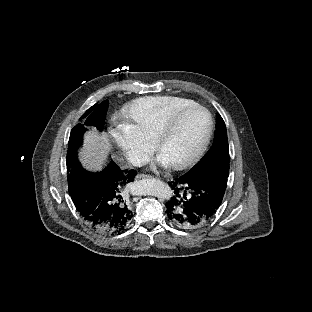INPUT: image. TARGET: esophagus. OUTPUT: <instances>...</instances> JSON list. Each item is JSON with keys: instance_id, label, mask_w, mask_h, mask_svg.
<instances>
[{"instance_id": "34e87169", "label": "esophagus", "mask_w": 312, "mask_h": 312, "mask_svg": "<svg viewBox=\"0 0 312 312\" xmlns=\"http://www.w3.org/2000/svg\"><path fill=\"white\" fill-rule=\"evenodd\" d=\"M136 179L137 180H139V179H154V177L149 175V174L138 173L136 175Z\"/></svg>"}]
</instances>
